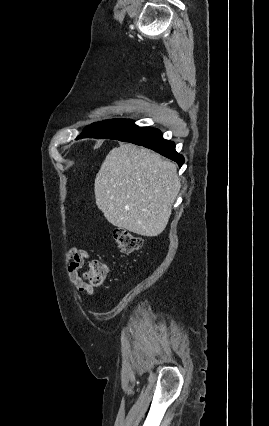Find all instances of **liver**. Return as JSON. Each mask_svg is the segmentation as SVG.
<instances>
[{
  "instance_id": "1",
  "label": "liver",
  "mask_w": 269,
  "mask_h": 426,
  "mask_svg": "<svg viewBox=\"0 0 269 426\" xmlns=\"http://www.w3.org/2000/svg\"><path fill=\"white\" fill-rule=\"evenodd\" d=\"M180 187L176 164L128 143L108 153L94 192L96 205L113 226L154 237L166 228Z\"/></svg>"
}]
</instances>
